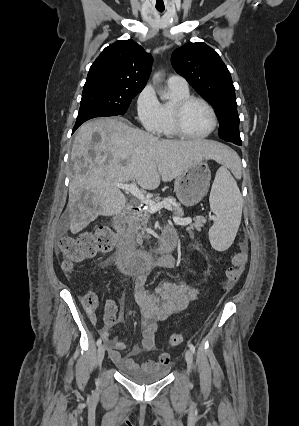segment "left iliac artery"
<instances>
[{"mask_svg":"<svg viewBox=\"0 0 299 426\" xmlns=\"http://www.w3.org/2000/svg\"><path fill=\"white\" fill-rule=\"evenodd\" d=\"M189 348L192 351V353H195V346L192 343L189 344Z\"/></svg>","mask_w":299,"mask_h":426,"instance_id":"obj_1","label":"left iliac artery"}]
</instances>
